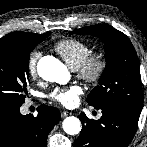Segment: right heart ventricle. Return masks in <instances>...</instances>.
<instances>
[{"label":"right heart ventricle","instance_id":"obj_1","mask_svg":"<svg viewBox=\"0 0 147 147\" xmlns=\"http://www.w3.org/2000/svg\"><path fill=\"white\" fill-rule=\"evenodd\" d=\"M54 50L72 69L76 70L91 52V46L80 39L65 38L54 45Z\"/></svg>","mask_w":147,"mask_h":147}]
</instances>
